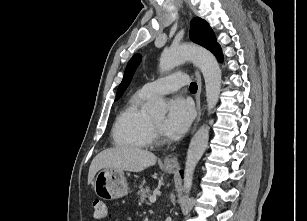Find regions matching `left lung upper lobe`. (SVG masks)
Wrapping results in <instances>:
<instances>
[{"label":"left lung upper lobe","instance_id":"obj_1","mask_svg":"<svg viewBox=\"0 0 307 221\" xmlns=\"http://www.w3.org/2000/svg\"><path fill=\"white\" fill-rule=\"evenodd\" d=\"M190 39L193 42L210 50L217 57V59L222 58L221 48L216 42V38L212 29L205 20L197 17L191 21ZM140 60L141 56L139 54H136L128 62L123 76V80L118 87L115 101L123 95L124 91L130 84L133 74L138 64L140 63Z\"/></svg>","mask_w":307,"mask_h":221}]
</instances>
